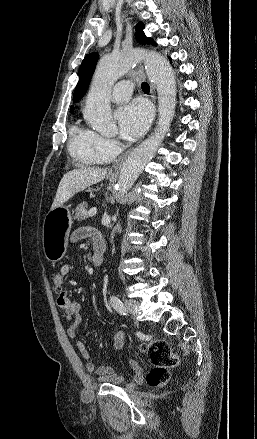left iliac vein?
I'll return each mask as SVG.
<instances>
[{"instance_id":"left-iliac-vein-1","label":"left iliac vein","mask_w":257,"mask_h":439,"mask_svg":"<svg viewBox=\"0 0 257 439\" xmlns=\"http://www.w3.org/2000/svg\"><path fill=\"white\" fill-rule=\"evenodd\" d=\"M125 306L129 313L134 314L138 312L140 304L137 300L130 299L125 302Z\"/></svg>"}]
</instances>
